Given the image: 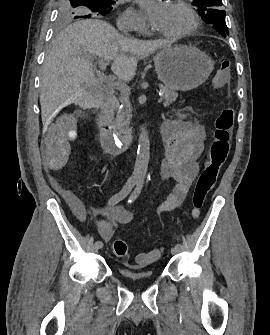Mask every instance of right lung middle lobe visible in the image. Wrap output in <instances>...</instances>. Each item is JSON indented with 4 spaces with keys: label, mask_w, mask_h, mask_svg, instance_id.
<instances>
[{
    "label": "right lung middle lobe",
    "mask_w": 270,
    "mask_h": 335,
    "mask_svg": "<svg viewBox=\"0 0 270 335\" xmlns=\"http://www.w3.org/2000/svg\"><path fill=\"white\" fill-rule=\"evenodd\" d=\"M116 2L113 0H61L57 19L67 23L76 19L105 16Z\"/></svg>",
    "instance_id": "1"
}]
</instances>
